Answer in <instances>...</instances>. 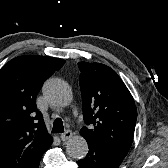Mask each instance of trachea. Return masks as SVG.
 Masks as SVG:
<instances>
[{"instance_id":"1","label":"trachea","mask_w":168,"mask_h":168,"mask_svg":"<svg viewBox=\"0 0 168 168\" xmlns=\"http://www.w3.org/2000/svg\"><path fill=\"white\" fill-rule=\"evenodd\" d=\"M64 132L63 122L60 118L56 119L53 124L52 133Z\"/></svg>"}]
</instances>
